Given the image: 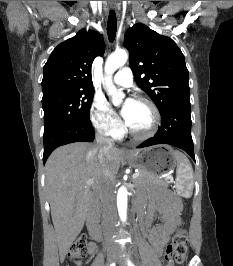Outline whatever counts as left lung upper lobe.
Here are the masks:
<instances>
[{
  "label": "left lung upper lobe",
  "mask_w": 233,
  "mask_h": 266,
  "mask_svg": "<svg viewBox=\"0 0 233 266\" xmlns=\"http://www.w3.org/2000/svg\"><path fill=\"white\" fill-rule=\"evenodd\" d=\"M130 67L137 85L160 113L172 102L189 98L188 70L175 42L138 23L126 31Z\"/></svg>",
  "instance_id": "left-lung-upper-lobe-1"
}]
</instances>
